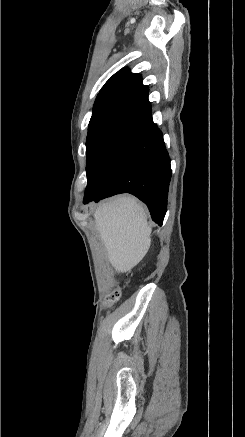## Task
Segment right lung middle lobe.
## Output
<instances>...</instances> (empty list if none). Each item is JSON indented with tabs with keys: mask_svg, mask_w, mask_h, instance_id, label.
Wrapping results in <instances>:
<instances>
[{
	"mask_svg": "<svg viewBox=\"0 0 245 437\" xmlns=\"http://www.w3.org/2000/svg\"><path fill=\"white\" fill-rule=\"evenodd\" d=\"M144 114L125 105H105L93 109L86 140L87 180L115 141Z\"/></svg>",
	"mask_w": 245,
	"mask_h": 437,
	"instance_id": "dd1d6c3e",
	"label": "right lung middle lobe"
}]
</instances>
